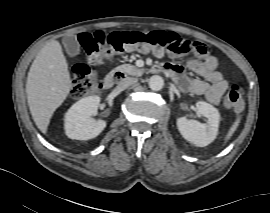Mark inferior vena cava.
I'll return each mask as SVG.
<instances>
[{"mask_svg":"<svg viewBox=\"0 0 270 213\" xmlns=\"http://www.w3.org/2000/svg\"><path fill=\"white\" fill-rule=\"evenodd\" d=\"M137 82H138L137 78H131V77L123 78L122 80L119 81L118 88L121 90H124V89L136 84Z\"/></svg>","mask_w":270,"mask_h":213,"instance_id":"602c4592","label":"inferior vena cava"}]
</instances>
